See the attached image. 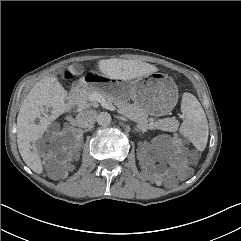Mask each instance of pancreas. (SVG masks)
<instances>
[{"label":"pancreas","mask_w":241,"mask_h":241,"mask_svg":"<svg viewBox=\"0 0 241 241\" xmlns=\"http://www.w3.org/2000/svg\"><path fill=\"white\" fill-rule=\"evenodd\" d=\"M96 95L104 98L108 104L113 103L115 106H117L118 112L120 114L124 115L125 117L135 121L139 125L146 127L148 129L158 128L164 131H173L178 126V121L174 117L161 119L156 122H151L148 119L147 113L144 110L137 107L135 104L128 103L125 100H117L109 95L103 94L94 89L83 90L73 98V102L75 105L78 106L79 109H84L89 107L91 103L96 101L94 98ZM152 123L153 125H150Z\"/></svg>","instance_id":"obj_1"}]
</instances>
